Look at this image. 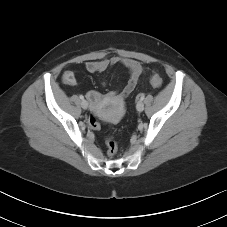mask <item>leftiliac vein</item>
Segmentation results:
<instances>
[{"label":"left iliac vein","mask_w":227,"mask_h":227,"mask_svg":"<svg viewBox=\"0 0 227 227\" xmlns=\"http://www.w3.org/2000/svg\"><path fill=\"white\" fill-rule=\"evenodd\" d=\"M136 109L138 112H142L144 110V104L142 101H139L136 105Z\"/></svg>","instance_id":"4c4485c4"}]
</instances>
